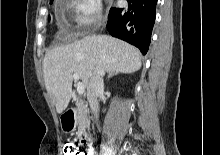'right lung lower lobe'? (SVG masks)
<instances>
[{
    "label": "right lung lower lobe",
    "mask_w": 220,
    "mask_h": 155,
    "mask_svg": "<svg viewBox=\"0 0 220 155\" xmlns=\"http://www.w3.org/2000/svg\"><path fill=\"white\" fill-rule=\"evenodd\" d=\"M127 1L129 8L126 11L110 9L107 30L112 36L138 47L145 55L149 49L157 0Z\"/></svg>",
    "instance_id": "right-lung-lower-lobe-1"
}]
</instances>
